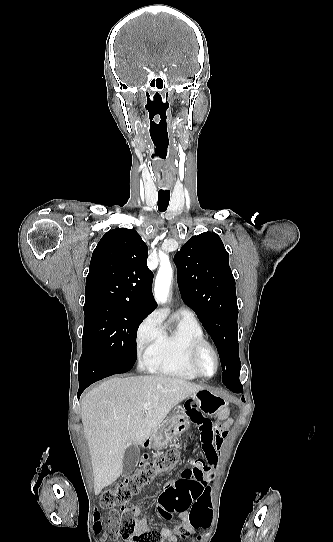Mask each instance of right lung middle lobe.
Wrapping results in <instances>:
<instances>
[{
	"label": "right lung middle lobe",
	"instance_id": "1",
	"mask_svg": "<svg viewBox=\"0 0 333 542\" xmlns=\"http://www.w3.org/2000/svg\"><path fill=\"white\" fill-rule=\"evenodd\" d=\"M84 313L81 360L101 354L130 370L137 358V330L149 313L113 305L84 307Z\"/></svg>",
	"mask_w": 333,
	"mask_h": 542
}]
</instances>
